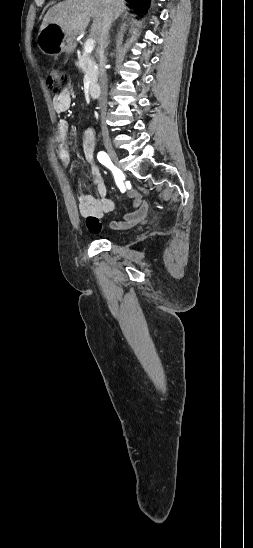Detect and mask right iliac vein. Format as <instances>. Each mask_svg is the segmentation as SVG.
<instances>
[{"label":"right iliac vein","instance_id":"63e3f726","mask_svg":"<svg viewBox=\"0 0 253 548\" xmlns=\"http://www.w3.org/2000/svg\"><path fill=\"white\" fill-rule=\"evenodd\" d=\"M105 147H106L107 153H108V155L110 156L111 160H112L114 163H116L117 165H119V164H120L119 157H118L116 151H115V150L113 149V147L111 146V144L107 143V144L105 145Z\"/></svg>","mask_w":253,"mask_h":548}]
</instances>
